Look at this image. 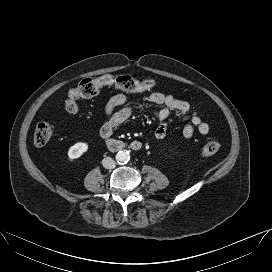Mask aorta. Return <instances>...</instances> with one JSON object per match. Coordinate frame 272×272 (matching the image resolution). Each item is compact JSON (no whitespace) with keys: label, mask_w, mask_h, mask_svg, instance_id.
<instances>
[{"label":"aorta","mask_w":272,"mask_h":272,"mask_svg":"<svg viewBox=\"0 0 272 272\" xmlns=\"http://www.w3.org/2000/svg\"><path fill=\"white\" fill-rule=\"evenodd\" d=\"M115 158L120 164L127 163L130 160V153L126 150H122L116 154Z\"/></svg>","instance_id":"obj_1"}]
</instances>
